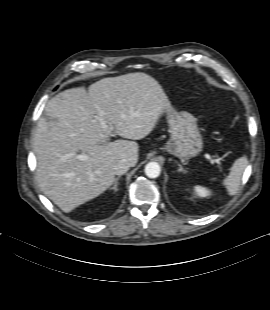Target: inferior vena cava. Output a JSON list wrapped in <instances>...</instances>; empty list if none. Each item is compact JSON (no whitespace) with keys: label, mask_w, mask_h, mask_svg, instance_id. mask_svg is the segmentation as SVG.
Segmentation results:
<instances>
[{"label":"inferior vena cava","mask_w":270,"mask_h":310,"mask_svg":"<svg viewBox=\"0 0 270 310\" xmlns=\"http://www.w3.org/2000/svg\"><path fill=\"white\" fill-rule=\"evenodd\" d=\"M129 167H130V164L128 163V161L123 159V160L118 161L114 165L113 170L116 175H122L129 170Z\"/></svg>","instance_id":"obj_1"}]
</instances>
